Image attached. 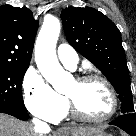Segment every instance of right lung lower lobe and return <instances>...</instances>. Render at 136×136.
I'll return each mask as SVG.
<instances>
[{"label": "right lung lower lobe", "instance_id": "obj_1", "mask_svg": "<svg viewBox=\"0 0 136 136\" xmlns=\"http://www.w3.org/2000/svg\"><path fill=\"white\" fill-rule=\"evenodd\" d=\"M0 113H6L12 115L20 120H27L29 118L27 111H21L15 109H0Z\"/></svg>", "mask_w": 136, "mask_h": 136}]
</instances>
